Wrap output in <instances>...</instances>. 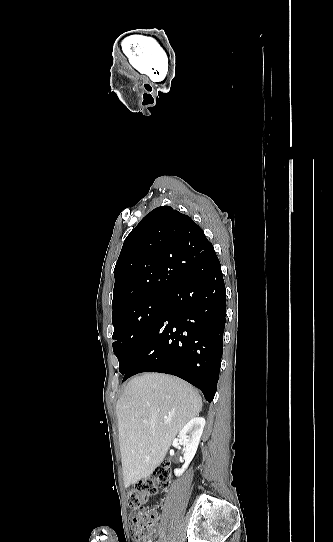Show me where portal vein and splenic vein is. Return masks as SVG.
<instances>
[{
  "label": "portal vein and splenic vein",
  "mask_w": 333,
  "mask_h": 542,
  "mask_svg": "<svg viewBox=\"0 0 333 542\" xmlns=\"http://www.w3.org/2000/svg\"><path fill=\"white\" fill-rule=\"evenodd\" d=\"M164 424H168V422H164Z\"/></svg>",
  "instance_id": "obj_1"
}]
</instances>
